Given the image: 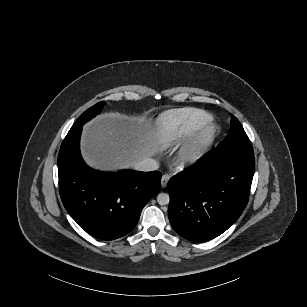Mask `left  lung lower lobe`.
<instances>
[{
  "label": "left lung lower lobe",
  "instance_id": "obj_1",
  "mask_svg": "<svg viewBox=\"0 0 307 307\" xmlns=\"http://www.w3.org/2000/svg\"><path fill=\"white\" fill-rule=\"evenodd\" d=\"M255 170L253 152L212 150L168 182L173 229L194 241L211 240L242 214Z\"/></svg>",
  "mask_w": 307,
  "mask_h": 307
}]
</instances>
